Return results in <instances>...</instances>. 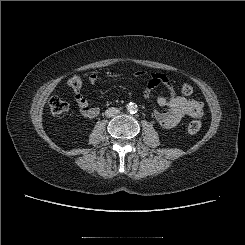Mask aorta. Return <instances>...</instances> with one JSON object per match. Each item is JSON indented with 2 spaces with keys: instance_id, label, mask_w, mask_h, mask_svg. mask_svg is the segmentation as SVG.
<instances>
[{
  "instance_id": "1",
  "label": "aorta",
  "mask_w": 245,
  "mask_h": 245,
  "mask_svg": "<svg viewBox=\"0 0 245 245\" xmlns=\"http://www.w3.org/2000/svg\"><path fill=\"white\" fill-rule=\"evenodd\" d=\"M126 108L129 113H136L138 111V106L135 103H129Z\"/></svg>"
}]
</instances>
